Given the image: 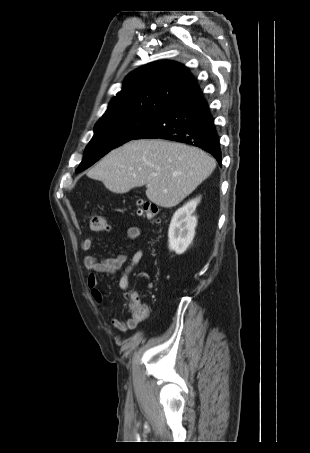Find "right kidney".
Returning a JSON list of instances; mask_svg holds the SVG:
<instances>
[{"label":"right kidney","instance_id":"obj_1","mask_svg":"<svg viewBox=\"0 0 310 453\" xmlns=\"http://www.w3.org/2000/svg\"><path fill=\"white\" fill-rule=\"evenodd\" d=\"M200 197L190 200L173 215L169 230V249L176 254L184 253L193 241L197 217L193 215Z\"/></svg>","mask_w":310,"mask_h":453}]
</instances>
